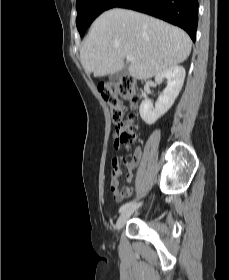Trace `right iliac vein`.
Instances as JSON below:
<instances>
[{
	"mask_svg": "<svg viewBox=\"0 0 229 280\" xmlns=\"http://www.w3.org/2000/svg\"><path fill=\"white\" fill-rule=\"evenodd\" d=\"M141 206V204H136L128 209H126L124 212L121 213V215L119 216V218L117 219L116 222V230L119 231L124 224L126 223V221L128 220V218L133 214V212L139 208Z\"/></svg>",
	"mask_w": 229,
	"mask_h": 280,
	"instance_id": "63e3f726",
	"label": "right iliac vein"
}]
</instances>
